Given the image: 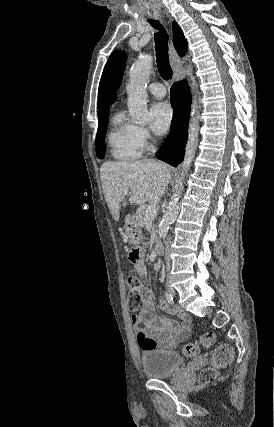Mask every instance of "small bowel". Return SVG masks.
Here are the masks:
<instances>
[{
    "mask_svg": "<svg viewBox=\"0 0 274 427\" xmlns=\"http://www.w3.org/2000/svg\"><path fill=\"white\" fill-rule=\"evenodd\" d=\"M135 267L139 275L146 274L147 266L142 258L135 263ZM160 308L163 312L170 311L169 305L164 300L160 301ZM180 318L181 322H178L159 316L155 311L150 289H143L142 306L139 312L131 317V324L135 329L139 347L144 352L176 348L187 339L191 327V321L186 314H181Z\"/></svg>",
    "mask_w": 274,
    "mask_h": 427,
    "instance_id": "small-bowel-1",
    "label": "small bowel"
}]
</instances>
